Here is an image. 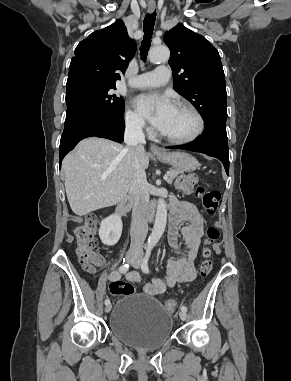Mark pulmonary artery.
<instances>
[{
	"instance_id": "e3ab8cb5",
	"label": "pulmonary artery",
	"mask_w": 291,
	"mask_h": 381,
	"mask_svg": "<svg viewBox=\"0 0 291 381\" xmlns=\"http://www.w3.org/2000/svg\"><path fill=\"white\" fill-rule=\"evenodd\" d=\"M170 77V72L167 66H159L154 71L146 72L137 75L129 80V85L138 88L146 89L165 85Z\"/></svg>"
}]
</instances>
